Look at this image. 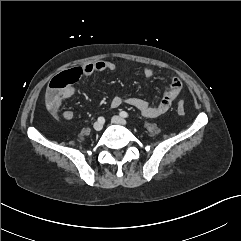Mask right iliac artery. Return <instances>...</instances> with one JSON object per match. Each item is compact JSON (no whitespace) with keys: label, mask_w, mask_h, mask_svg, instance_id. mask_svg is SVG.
<instances>
[{"label":"right iliac artery","mask_w":241,"mask_h":241,"mask_svg":"<svg viewBox=\"0 0 241 241\" xmlns=\"http://www.w3.org/2000/svg\"><path fill=\"white\" fill-rule=\"evenodd\" d=\"M98 121L104 123L105 119L103 117H98Z\"/></svg>","instance_id":"right-iliac-artery-1"}]
</instances>
